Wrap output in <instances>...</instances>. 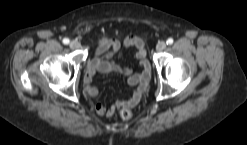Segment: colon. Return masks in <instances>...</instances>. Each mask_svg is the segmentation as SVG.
I'll list each match as a JSON object with an SVG mask.
<instances>
[{
	"instance_id": "obj_1",
	"label": "colon",
	"mask_w": 247,
	"mask_h": 145,
	"mask_svg": "<svg viewBox=\"0 0 247 145\" xmlns=\"http://www.w3.org/2000/svg\"><path fill=\"white\" fill-rule=\"evenodd\" d=\"M119 116L124 119V120H128L132 118V111L128 108H122L119 111Z\"/></svg>"
}]
</instances>
